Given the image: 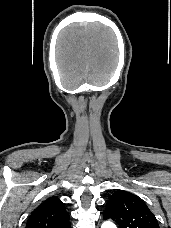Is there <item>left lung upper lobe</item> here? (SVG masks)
<instances>
[{
  "instance_id": "left-lung-upper-lobe-1",
  "label": "left lung upper lobe",
  "mask_w": 171,
  "mask_h": 228,
  "mask_svg": "<svg viewBox=\"0 0 171 228\" xmlns=\"http://www.w3.org/2000/svg\"><path fill=\"white\" fill-rule=\"evenodd\" d=\"M104 219H112L121 228H159L158 221L145 203L134 194L118 190L106 204Z\"/></svg>"
}]
</instances>
